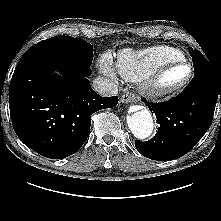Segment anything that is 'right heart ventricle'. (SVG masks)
Listing matches in <instances>:
<instances>
[{
	"instance_id": "1",
	"label": "right heart ventricle",
	"mask_w": 221,
	"mask_h": 221,
	"mask_svg": "<svg viewBox=\"0 0 221 221\" xmlns=\"http://www.w3.org/2000/svg\"><path fill=\"white\" fill-rule=\"evenodd\" d=\"M181 60H185L183 53L170 46L124 49L118 53L116 68L122 78L137 82L147 79L160 67Z\"/></svg>"
}]
</instances>
